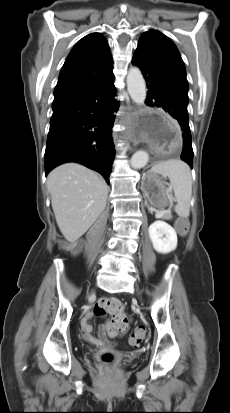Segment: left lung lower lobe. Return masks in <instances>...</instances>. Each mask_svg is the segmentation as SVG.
<instances>
[{
    "label": "left lung lower lobe",
    "instance_id": "obj_1",
    "mask_svg": "<svg viewBox=\"0 0 230 413\" xmlns=\"http://www.w3.org/2000/svg\"><path fill=\"white\" fill-rule=\"evenodd\" d=\"M145 78L148 88L146 104L160 107L176 119L181 127L183 150L181 159L192 168L193 150L187 111L188 94L178 88L161 70L147 61L133 57Z\"/></svg>",
    "mask_w": 230,
    "mask_h": 413
}]
</instances>
